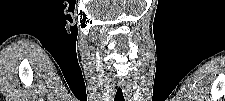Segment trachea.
Wrapping results in <instances>:
<instances>
[{
    "mask_svg": "<svg viewBox=\"0 0 225 101\" xmlns=\"http://www.w3.org/2000/svg\"><path fill=\"white\" fill-rule=\"evenodd\" d=\"M114 101H125V100H124V96H123V93H122V89H121V88H118V89H117V92H116Z\"/></svg>",
    "mask_w": 225,
    "mask_h": 101,
    "instance_id": "1",
    "label": "trachea"
}]
</instances>
